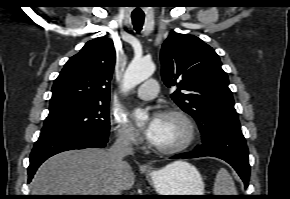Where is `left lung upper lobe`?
I'll return each instance as SVG.
<instances>
[{
	"instance_id": "1",
	"label": "left lung upper lobe",
	"mask_w": 290,
	"mask_h": 199,
	"mask_svg": "<svg viewBox=\"0 0 290 199\" xmlns=\"http://www.w3.org/2000/svg\"><path fill=\"white\" fill-rule=\"evenodd\" d=\"M162 79L171 97L199 125L203 139L217 131H241L227 74L216 52L193 35L175 33L161 50Z\"/></svg>"
}]
</instances>
